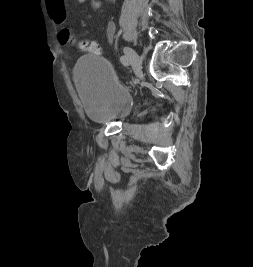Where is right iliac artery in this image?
Masks as SVG:
<instances>
[{
    "label": "right iliac artery",
    "mask_w": 253,
    "mask_h": 267,
    "mask_svg": "<svg viewBox=\"0 0 253 267\" xmlns=\"http://www.w3.org/2000/svg\"><path fill=\"white\" fill-rule=\"evenodd\" d=\"M120 62L124 65V66H128L130 64V59L127 56H121L120 58Z\"/></svg>",
    "instance_id": "82829eb1"
}]
</instances>
